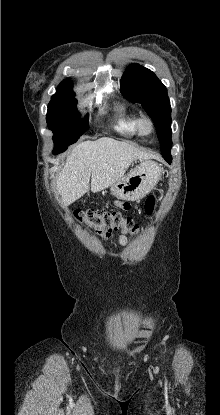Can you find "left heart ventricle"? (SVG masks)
Masks as SVG:
<instances>
[{"label":"left heart ventricle","mask_w":220,"mask_h":415,"mask_svg":"<svg viewBox=\"0 0 220 415\" xmlns=\"http://www.w3.org/2000/svg\"><path fill=\"white\" fill-rule=\"evenodd\" d=\"M145 130L148 131V126H145Z\"/></svg>","instance_id":"left-heart-ventricle-1"}]
</instances>
